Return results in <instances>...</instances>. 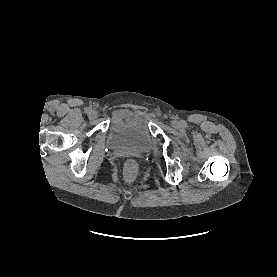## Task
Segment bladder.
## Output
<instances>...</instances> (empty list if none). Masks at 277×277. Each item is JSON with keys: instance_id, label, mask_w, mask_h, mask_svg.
<instances>
[{"instance_id": "1", "label": "bladder", "mask_w": 277, "mask_h": 277, "mask_svg": "<svg viewBox=\"0 0 277 277\" xmlns=\"http://www.w3.org/2000/svg\"><path fill=\"white\" fill-rule=\"evenodd\" d=\"M150 117L144 111L119 109L111 117L108 146L115 151L146 152L153 144Z\"/></svg>"}]
</instances>
